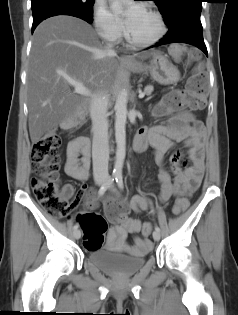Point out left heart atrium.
<instances>
[{
  "label": "left heart atrium",
  "instance_id": "1",
  "mask_svg": "<svg viewBox=\"0 0 238 315\" xmlns=\"http://www.w3.org/2000/svg\"><path fill=\"white\" fill-rule=\"evenodd\" d=\"M111 5L115 10H123V21L128 28L135 16L141 11V6L126 0H111Z\"/></svg>",
  "mask_w": 238,
  "mask_h": 315
}]
</instances>
